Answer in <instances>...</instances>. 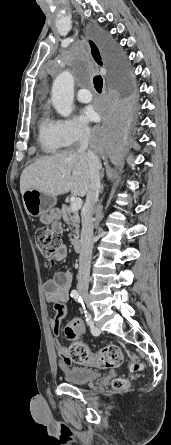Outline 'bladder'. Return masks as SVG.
Returning <instances> with one entry per match:
<instances>
[{
	"label": "bladder",
	"instance_id": "obj_1",
	"mask_svg": "<svg viewBox=\"0 0 171 445\" xmlns=\"http://www.w3.org/2000/svg\"><path fill=\"white\" fill-rule=\"evenodd\" d=\"M64 377L69 384H88L99 379L100 371L94 368H72L64 373Z\"/></svg>",
	"mask_w": 171,
	"mask_h": 445
}]
</instances>
